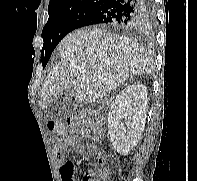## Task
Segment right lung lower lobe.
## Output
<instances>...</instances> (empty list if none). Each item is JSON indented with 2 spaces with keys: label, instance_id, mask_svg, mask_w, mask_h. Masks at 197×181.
Masks as SVG:
<instances>
[{
  "label": "right lung lower lobe",
  "instance_id": "98d812e1",
  "mask_svg": "<svg viewBox=\"0 0 197 181\" xmlns=\"http://www.w3.org/2000/svg\"><path fill=\"white\" fill-rule=\"evenodd\" d=\"M153 15V0H107L86 16L78 28L90 25L132 30L142 28Z\"/></svg>",
  "mask_w": 197,
  "mask_h": 181
}]
</instances>
